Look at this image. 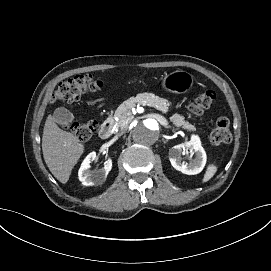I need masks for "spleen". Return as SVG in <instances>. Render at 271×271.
<instances>
[{
  "instance_id": "obj_1",
  "label": "spleen",
  "mask_w": 271,
  "mask_h": 271,
  "mask_svg": "<svg viewBox=\"0 0 271 271\" xmlns=\"http://www.w3.org/2000/svg\"><path fill=\"white\" fill-rule=\"evenodd\" d=\"M216 171H217V167L213 164H210L207 167L206 173L204 174L203 182L209 181L214 176Z\"/></svg>"
}]
</instances>
